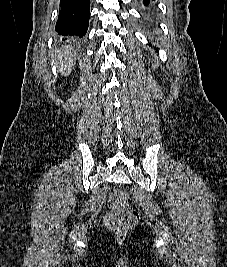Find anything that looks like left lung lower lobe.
<instances>
[{
	"mask_svg": "<svg viewBox=\"0 0 227 267\" xmlns=\"http://www.w3.org/2000/svg\"><path fill=\"white\" fill-rule=\"evenodd\" d=\"M152 1H155V0H152ZM143 3H144L145 6H148L149 3H150V0H143Z\"/></svg>",
	"mask_w": 227,
	"mask_h": 267,
	"instance_id": "obj_1",
	"label": "left lung lower lobe"
}]
</instances>
